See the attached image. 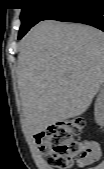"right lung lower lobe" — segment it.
<instances>
[{"label": "right lung lower lobe", "mask_w": 104, "mask_h": 169, "mask_svg": "<svg viewBox=\"0 0 104 169\" xmlns=\"http://www.w3.org/2000/svg\"><path fill=\"white\" fill-rule=\"evenodd\" d=\"M58 5L44 18L88 24L104 31V0H56Z\"/></svg>", "instance_id": "obj_1"}]
</instances>
